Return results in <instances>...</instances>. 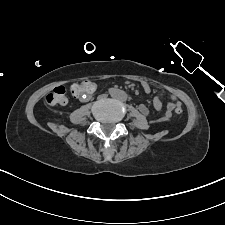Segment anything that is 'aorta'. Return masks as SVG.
I'll return each instance as SVG.
<instances>
[{"label":"aorta","instance_id":"aorta-1","mask_svg":"<svg viewBox=\"0 0 225 225\" xmlns=\"http://www.w3.org/2000/svg\"><path fill=\"white\" fill-rule=\"evenodd\" d=\"M112 96L118 100H126L127 99V94L122 91V90H119V89H116L112 92Z\"/></svg>","mask_w":225,"mask_h":225}]
</instances>
